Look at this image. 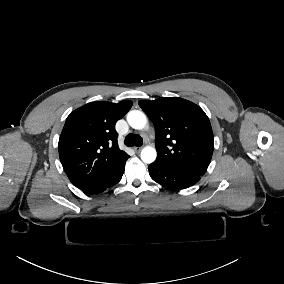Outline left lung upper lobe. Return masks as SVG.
Instances as JSON below:
<instances>
[{"instance_id":"1","label":"left lung upper lobe","mask_w":284,"mask_h":284,"mask_svg":"<svg viewBox=\"0 0 284 284\" xmlns=\"http://www.w3.org/2000/svg\"><path fill=\"white\" fill-rule=\"evenodd\" d=\"M155 126V163L172 170L203 175L213 154V132L205 112L193 102L172 97L140 100Z\"/></svg>"}]
</instances>
